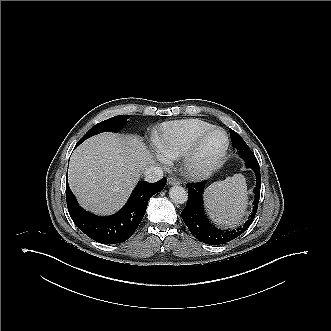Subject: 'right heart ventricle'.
<instances>
[{
    "label": "right heart ventricle",
    "instance_id": "1",
    "mask_svg": "<svg viewBox=\"0 0 331 331\" xmlns=\"http://www.w3.org/2000/svg\"><path fill=\"white\" fill-rule=\"evenodd\" d=\"M213 126L200 119H183L164 123L155 144L169 158L184 154L195 138Z\"/></svg>",
    "mask_w": 331,
    "mask_h": 331
}]
</instances>
